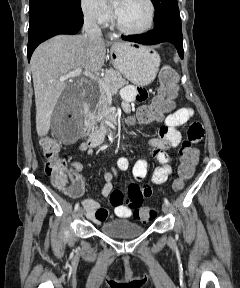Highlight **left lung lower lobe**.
I'll list each match as a JSON object with an SVG mask.
<instances>
[{"label": "left lung lower lobe", "mask_w": 240, "mask_h": 288, "mask_svg": "<svg viewBox=\"0 0 240 288\" xmlns=\"http://www.w3.org/2000/svg\"><path fill=\"white\" fill-rule=\"evenodd\" d=\"M126 41H132L145 45H153L161 42H170L175 45L181 58H183L182 29L179 24H164L142 35L122 36Z\"/></svg>", "instance_id": "left-lung-lower-lobe-1"}]
</instances>
